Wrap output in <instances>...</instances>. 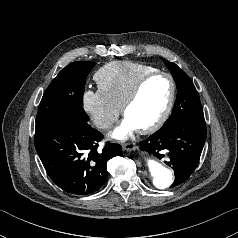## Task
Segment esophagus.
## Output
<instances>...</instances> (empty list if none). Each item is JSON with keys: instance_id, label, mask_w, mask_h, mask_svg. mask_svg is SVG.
Segmentation results:
<instances>
[{"instance_id": "34e87169", "label": "esophagus", "mask_w": 238, "mask_h": 238, "mask_svg": "<svg viewBox=\"0 0 238 238\" xmlns=\"http://www.w3.org/2000/svg\"><path fill=\"white\" fill-rule=\"evenodd\" d=\"M123 149L126 151H133L136 149V145L134 143H126L123 144Z\"/></svg>"}]
</instances>
